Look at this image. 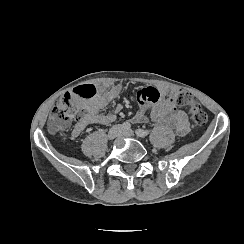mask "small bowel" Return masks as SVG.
Masks as SVG:
<instances>
[{
	"mask_svg": "<svg viewBox=\"0 0 244 244\" xmlns=\"http://www.w3.org/2000/svg\"><path fill=\"white\" fill-rule=\"evenodd\" d=\"M94 86L95 94L90 98H83L87 104V113L77 120L72 130L73 136L81 135L91 124L106 125L117 119L120 107L114 112L102 113L101 111L121 95L123 85L111 86L105 82ZM79 88L81 86L76 89ZM175 94L176 90L167 86L141 89L137 93L139 111L132 121L145 123L151 120L163 128L172 130L176 136L185 137L190 132V123L187 114L173 103Z\"/></svg>",
	"mask_w": 244,
	"mask_h": 244,
	"instance_id": "1",
	"label": "small bowel"
}]
</instances>
